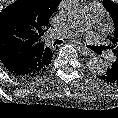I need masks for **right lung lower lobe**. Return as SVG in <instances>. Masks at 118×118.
<instances>
[{
  "instance_id": "right-lung-lower-lobe-1",
  "label": "right lung lower lobe",
  "mask_w": 118,
  "mask_h": 118,
  "mask_svg": "<svg viewBox=\"0 0 118 118\" xmlns=\"http://www.w3.org/2000/svg\"><path fill=\"white\" fill-rule=\"evenodd\" d=\"M0 63L17 77H33L40 73L37 69V59L31 54L4 52L0 54Z\"/></svg>"
}]
</instances>
